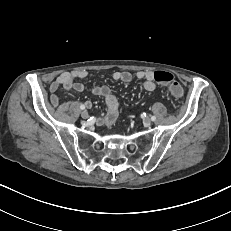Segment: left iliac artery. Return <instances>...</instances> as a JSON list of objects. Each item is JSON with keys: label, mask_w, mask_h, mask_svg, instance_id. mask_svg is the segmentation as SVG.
Returning <instances> with one entry per match:
<instances>
[{"label": "left iliac artery", "mask_w": 231, "mask_h": 231, "mask_svg": "<svg viewBox=\"0 0 231 231\" xmlns=\"http://www.w3.org/2000/svg\"><path fill=\"white\" fill-rule=\"evenodd\" d=\"M151 120H152V121H155V120H156V117H155V116H152V117H151Z\"/></svg>", "instance_id": "left-iliac-artery-1"}]
</instances>
